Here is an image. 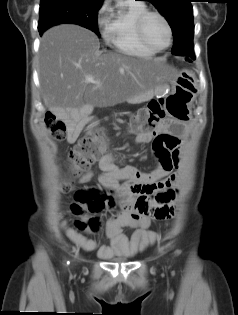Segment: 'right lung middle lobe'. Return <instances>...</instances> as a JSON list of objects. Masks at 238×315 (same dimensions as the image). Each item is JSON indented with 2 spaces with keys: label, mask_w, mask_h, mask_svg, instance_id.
I'll return each mask as SVG.
<instances>
[{
  "label": "right lung middle lobe",
  "mask_w": 238,
  "mask_h": 315,
  "mask_svg": "<svg viewBox=\"0 0 238 315\" xmlns=\"http://www.w3.org/2000/svg\"><path fill=\"white\" fill-rule=\"evenodd\" d=\"M102 0H41L38 30L40 35L51 26L73 23L99 35L98 9Z\"/></svg>",
  "instance_id": "dd1d6c3e"
}]
</instances>
